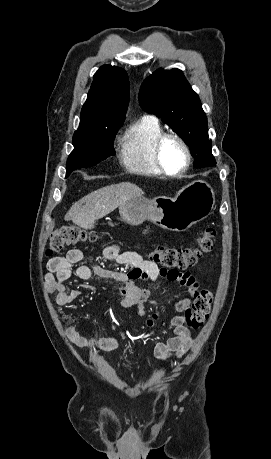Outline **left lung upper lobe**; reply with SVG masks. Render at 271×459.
<instances>
[{"mask_svg": "<svg viewBox=\"0 0 271 459\" xmlns=\"http://www.w3.org/2000/svg\"><path fill=\"white\" fill-rule=\"evenodd\" d=\"M140 106L168 124L189 146L194 167L214 166L208 124L198 95L179 69L156 70L139 91Z\"/></svg>", "mask_w": 271, "mask_h": 459, "instance_id": "1", "label": "left lung upper lobe"}]
</instances>
